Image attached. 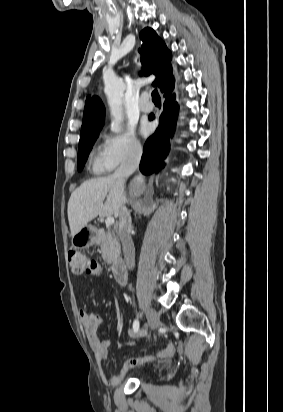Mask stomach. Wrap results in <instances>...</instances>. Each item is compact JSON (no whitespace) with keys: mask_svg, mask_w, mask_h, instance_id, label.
I'll use <instances>...</instances> for the list:
<instances>
[{"mask_svg":"<svg viewBox=\"0 0 283 412\" xmlns=\"http://www.w3.org/2000/svg\"><path fill=\"white\" fill-rule=\"evenodd\" d=\"M96 242L95 229L92 226H84L77 234H75L71 243L76 249H84L92 246Z\"/></svg>","mask_w":283,"mask_h":412,"instance_id":"stomach-1","label":"stomach"}]
</instances>
